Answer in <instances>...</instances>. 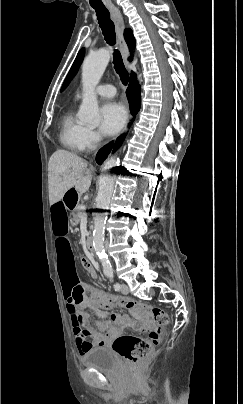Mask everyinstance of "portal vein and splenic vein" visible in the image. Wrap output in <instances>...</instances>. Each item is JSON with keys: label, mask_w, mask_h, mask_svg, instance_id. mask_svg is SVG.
Segmentation results:
<instances>
[{"label": "portal vein and splenic vein", "mask_w": 243, "mask_h": 404, "mask_svg": "<svg viewBox=\"0 0 243 404\" xmlns=\"http://www.w3.org/2000/svg\"><path fill=\"white\" fill-rule=\"evenodd\" d=\"M85 210H86L85 206H82L81 210L78 212V215L81 218L87 217V214H85Z\"/></svg>", "instance_id": "1"}]
</instances>
